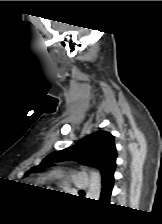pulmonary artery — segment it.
<instances>
[{"label": "pulmonary artery", "instance_id": "pulmonary-artery-1", "mask_svg": "<svg viewBox=\"0 0 162 224\" xmlns=\"http://www.w3.org/2000/svg\"><path fill=\"white\" fill-rule=\"evenodd\" d=\"M73 186L77 189L87 188L89 177L86 173L78 172L72 175Z\"/></svg>", "mask_w": 162, "mask_h": 224}]
</instances>
